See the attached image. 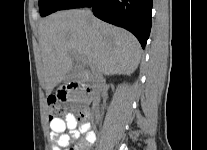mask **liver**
Segmentation results:
<instances>
[{
	"label": "liver",
	"mask_w": 207,
	"mask_h": 150,
	"mask_svg": "<svg viewBox=\"0 0 207 150\" xmlns=\"http://www.w3.org/2000/svg\"><path fill=\"white\" fill-rule=\"evenodd\" d=\"M39 43L44 67L46 94L72 70L74 58L92 71L104 75L132 74L141 59L138 40L129 32L107 24L85 10L51 14L39 24Z\"/></svg>",
	"instance_id": "1"
}]
</instances>
